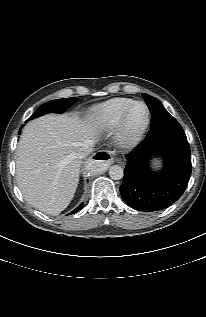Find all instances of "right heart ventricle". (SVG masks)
Returning a JSON list of instances; mask_svg holds the SVG:
<instances>
[{
    "label": "right heart ventricle",
    "mask_w": 206,
    "mask_h": 317,
    "mask_svg": "<svg viewBox=\"0 0 206 317\" xmlns=\"http://www.w3.org/2000/svg\"><path fill=\"white\" fill-rule=\"evenodd\" d=\"M134 102L130 98L117 97L101 103L91 110L90 118L99 126L110 129L117 125L122 113Z\"/></svg>",
    "instance_id": "right-heart-ventricle-1"
}]
</instances>
